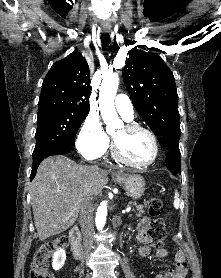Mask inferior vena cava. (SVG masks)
<instances>
[{
	"instance_id": "602c4592",
	"label": "inferior vena cava",
	"mask_w": 221,
	"mask_h": 278,
	"mask_svg": "<svg viewBox=\"0 0 221 278\" xmlns=\"http://www.w3.org/2000/svg\"><path fill=\"white\" fill-rule=\"evenodd\" d=\"M94 169H98L97 166H91ZM91 195L90 192L87 193ZM79 223L83 234V250L84 254L88 255L93 248V231H94V219H93V203L92 199H86L80 207Z\"/></svg>"
}]
</instances>
